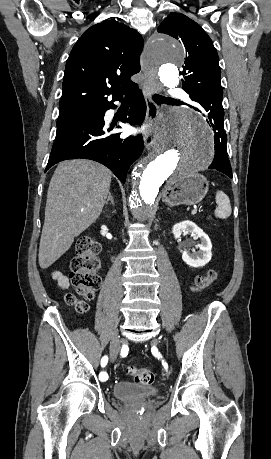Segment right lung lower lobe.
<instances>
[{"instance_id": "obj_1", "label": "right lung lower lobe", "mask_w": 271, "mask_h": 459, "mask_svg": "<svg viewBox=\"0 0 271 459\" xmlns=\"http://www.w3.org/2000/svg\"><path fill=\"white\" fill-rule=\"evenodd\" d=\"M135 102L121 119L129 124L141 123L146 113V104L142 92L133 91ZM114 101V100H113ZM107 102L101 117L75 120L57 126L56 138L51 150L45 172L54 164L68 159H90L102 163L125 183L130 165L137 160L143 150L141 136L122 139L120 133L106 135L104 115L106 110L116 106Z\"/></svg>"}]
</instances>
